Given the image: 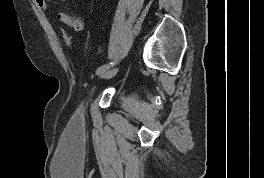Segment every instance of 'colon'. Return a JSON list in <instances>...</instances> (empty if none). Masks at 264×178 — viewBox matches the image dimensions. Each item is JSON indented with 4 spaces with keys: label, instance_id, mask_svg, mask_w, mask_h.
I'll return each instance as SVG.
<instances>
[{
    "label": "colon",
    "instance_id": "5ec220e1",
    "mask_svg": "<svg viewBox=\"0 0 264 178\" xmlns=\"http://www.w3.org/2000/svg\"><path fill=\"white\" fill-rule=\"evenodd\" d=\"M64 38H65L66 43H67L68 45H70V44H71V39H70V37H69V36H64Z\"/></svg>",
    "mask_w": 264,
    "mask_h": 178
}]
</instances>
